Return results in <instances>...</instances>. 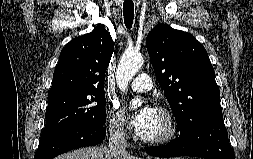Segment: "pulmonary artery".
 Listing matches in <instances>:
<instances>
[{
	"instance_id": "obj_1",
	"label": "pulmonary artery",
	"mask_w": 253,
	"mask_h": 159,
	"mask_svg": "<svg viewBox=\"0 0 253 159\" xmlns=\"http://www.w3.org/2000/svg\"><path fill=\"white\" fill-rule=\"evenodd\" d=\"M130 86L137 92H146L152 88V82L148 74L142 73L133 79Z\"/></svg>"
}]
</instances>
